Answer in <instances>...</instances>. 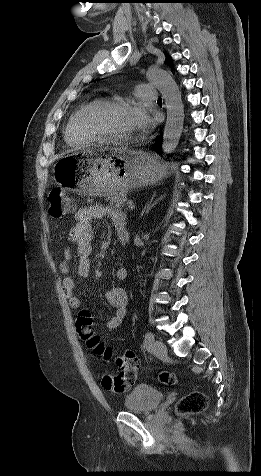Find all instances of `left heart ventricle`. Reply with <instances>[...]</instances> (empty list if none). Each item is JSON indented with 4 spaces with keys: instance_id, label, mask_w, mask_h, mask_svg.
Listing matches in <instances>:
<instances>
[{
    "instance_id": "b2bd125f",
    "label": "left heart ventricle",
    "mask_w": 261,
    "mask_h": 476,
    "mask_svg": "<svg viewBox=\"0 0 261 476\" xmlns=\"http://www.w3.org/2000/svg\"><path fill=\"white\" fill-rule=\"evenodd\" d=\"M133 107L99 111L92 114L88 124L96 129L126 136L133 132L131 110Z\"/></svg>"
}]
</instances>
